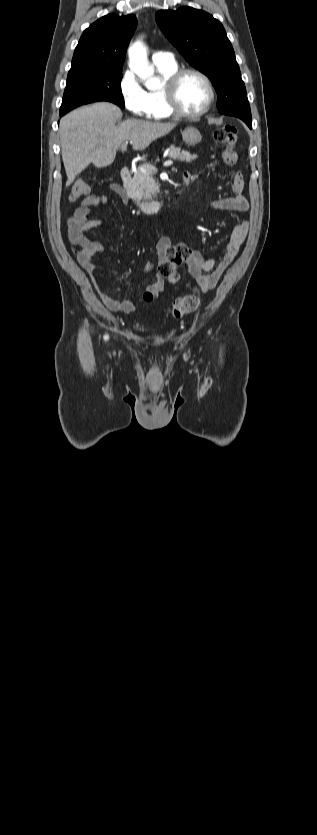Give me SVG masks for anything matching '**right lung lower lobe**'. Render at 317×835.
I'll return each instance as SVG.
<instances>
[{"label":"right lung lower lobe","mask_w":317,"mask_h":835,"mask_svg":"<svg viewBox=\"0 0 317 835\" xmlns=\"http://www.w3.org/2000/svg\"><path fill=\"white\" fill-rule=\"evenodd\" d=\"M64 114H66V113L60 112V116H63Z\"/></svg>","instance_id":"1"}]
</instances>
